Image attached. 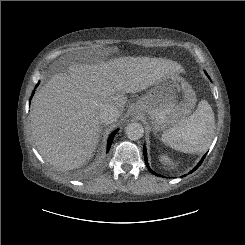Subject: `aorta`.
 Returning <instances> with one entry per match:
<instances>
[{
    "label": "aorta",
    "mask_w": 245,
    "mask_h": 245,
    "mask_svg": "<svg viewBox=\"0 0 245 245\" xmlns=\"http://www.w3.org/2000/svg\"><path fill=\"white\" fill-rule=\"evenodd\" d=\"M125 133L130 140H138L143 136L144 128L140 123H129L125 127Z\"/></svg>",
    "instance_id": "1"
}]
</instances>
